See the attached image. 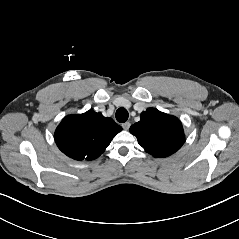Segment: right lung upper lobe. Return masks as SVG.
Segmentation results:
<instances>
[{
	"label": "right lung upper lobe",
	"instance_id": "cb5924a9",
	"mask_svg": "<svg viewBox=\"0 0 239 239\" xmlns=\"http://www.w3.org/2000/svg\"><path fill=\"white\" fill-rule=\"evenodd\" d=\"M121 130L122 127L112 118L89 110L80 115L66 116L55 131V142L72 159L94 160Z\"/></svg>",
	"mask_w": 239,
	"mask_h": 239
}]
</instances>
